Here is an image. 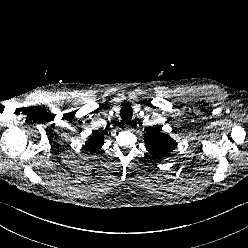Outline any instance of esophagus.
Segmentation results:
<instances>
[{
  "mask_svg": "<svg viewBox=\"0 0 248 248\" xmlns=\"http://www.w3.org/2000/svg\"><path fill=\"white\" fill-rule=\"evenodd\" d=\"M124 128H125L126 130H131L132 126H131L130 123H125V124H124Z\"/></svg>",
  "mask_w": 248,
  "mask_h": 248,
  "instance_id": "esophagus-1",
  "label": "esophagus"
}]
</instances>
